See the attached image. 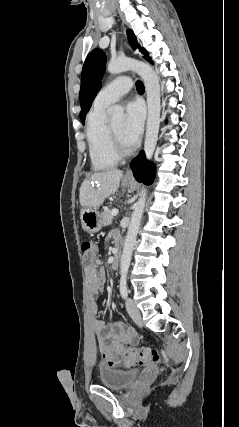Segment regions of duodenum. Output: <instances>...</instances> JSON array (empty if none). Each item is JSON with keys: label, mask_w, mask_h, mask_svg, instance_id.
Here are the masks:
<instances>
[{"label": "duodenum", "mask_w": 239, "mask_h": 427, "mask_svg": "<svg viewBox=\"0 0 239 427\" xmlns=\"http://www.w3.org/2000/svg\"><path fill=\"white\" fill-rule=\"evenodd\" d=\"M120 258H121V252L119 247H116L113 253V259H112V268L113 269H118L119 264H120Z\"/></svg>", "instance_id": "duodenum-1"}]
</instances>
